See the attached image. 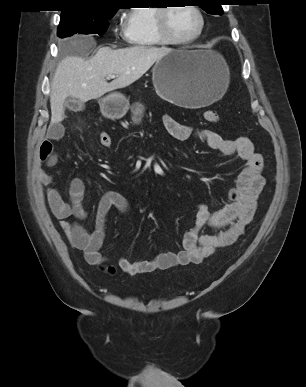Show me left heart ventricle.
Instances as JSON below:
<instances>
[{"mask_svg":"<svg viewBox=\"0 0 306 387\" xmlns=\"http://www.w3.org/2000/svg\"><path fill=\"white\" fill-rule=\"evenodd\" d=\"M170 33L178 39L193 36L199 27L196 13L188 6L173 7L168 16Z\"/></svg>","mask_w":306,"mask_h":387,"instance_id":"1","label":"left heart ventricle"}]
</instances>
